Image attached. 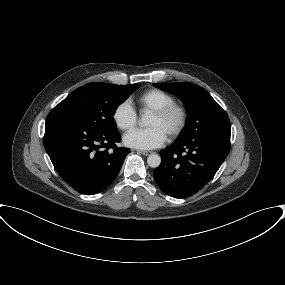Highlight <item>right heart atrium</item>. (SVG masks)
Returning a JSON list of instances; mask_svg holds the SVG:
<instances>
[{
  "label": "right heart atrium",
  "mask_w": 285,
  "mask_h": 285,
  "mask_svg": "<svg viewBox=\"0 0 285 285\" xmlns=\"http://www.w3.org/2000/svg\"><path fill=\"white\" fill-rule=\"evenodd\" d=\"M115 125L123 131L131 130L137 123V114L128 101L120 102L113 111Z\"/></svg>",
  "instance_id": "1"
}]
</instances>
